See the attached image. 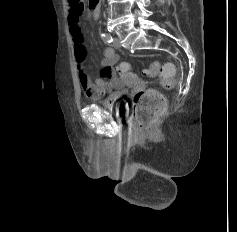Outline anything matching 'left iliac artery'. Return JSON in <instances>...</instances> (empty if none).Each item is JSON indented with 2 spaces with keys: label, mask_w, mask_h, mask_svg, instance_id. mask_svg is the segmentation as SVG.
<instances>
[{
  "label": "left iliac artery",
  "mask_w": 237,
  "mask_h": 232,
  "mask_svg": "<svg viewBox=\"0 0 237 232\" xmlns=\"http://www.w3.org/2000/svg\"><path fill=\"white\" fill-rule=\"evenodd\" d=\"M102 36L105 42L111 43L113 41V38L110 34H102Z\"/></svg>",
  "instance_id": "44dca946"
}]
</instances>
